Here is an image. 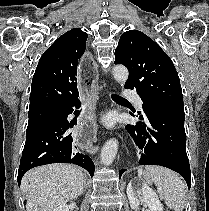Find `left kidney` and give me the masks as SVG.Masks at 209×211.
Listing matches in <instances>:
<instances>
[{
  "instance_id": "left-kidney-1",
  "label": "left kidney",
  "mask_w": 209,
  "mask_h": 211,
  "mask_svg": "<svg viewBox=\"0 0 209 211\" xmlns=\"http://www.w3.org/2000/svg\"><path fill=\"white\" fill-rule=\"evenodd\" d=\"M127 196L132 209L136 210L140 203H145L149 211H164L157 194L146 183L130 182Z\"/></svg>"
}]
</instances>
